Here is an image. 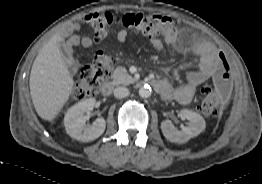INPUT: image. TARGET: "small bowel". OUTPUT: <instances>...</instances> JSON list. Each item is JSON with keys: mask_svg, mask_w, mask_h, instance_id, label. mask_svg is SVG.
Masks as SVG:
<instances>
[{"mask_svg": "<svg viewBox=\"0 0 262 184\" xmlns=\"http://www.w3.org/2000/svg\"><path fill=\"white\" fill-rule=\"evenodd\" d=\"M75 25L69 24L66 26V51L70 53L74 46L81 45L84 48H90L93 46V41L89 37L78 38L72 36V32ZM128 36L126 30H121L117 34V39L121 42L125 41ZM179 33L176 29H173L170 33L161 38H150V45L161 52L165 51V44L175 45L178 42ZM192 51L199 58V69L188 74L185 83L173 87L167 80H158L159 87L157 92L164 100H176L180 104H188L193 99V96L199 86L213 80L212 74L219 66L216 52L218 51L214 46L207 42H195L192 45Z\"/></svg>", "mask_w": 262, "mask_h": 184, "instance_id": "obj_1", "label": "small bowel"}]
</instances>
